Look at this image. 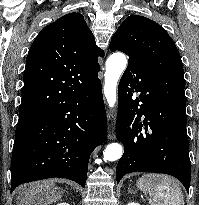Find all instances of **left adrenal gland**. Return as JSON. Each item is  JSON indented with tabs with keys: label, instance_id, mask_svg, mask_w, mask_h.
<instances>
[{
	"label": "left adrenal gland",
	"instance_id": "left-adrenal-gland-1",
	"mask_svg": "<svg viewBox=\"0 0 199 205\" xmlns=\"http://www.w3.org/2000/svg\"><path fill=\"white\" fill-rule=\"evenodd\" d=\"M129 193H134V191H133V190H130Z\"/></svg>",
	"mask_w": 199,
	"mask_h": 205
}]
</instances>
